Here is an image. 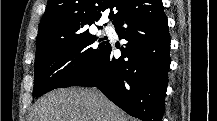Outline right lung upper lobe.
I'll list each match as a JSON object with an SVG mask.
<instances>
[{
	"instance_id": "right-lung-upper-lobe-1",
	"label": "right lung upper lobe",
	"mask_w": 217,
	"mask_h": 121,
	"mask_svg": "<svg viewBox=\"0 0 217 121\" xmlns=\"http://www.w3.org/2000/svg\"><path fill=\"white\" fill-rule=\"evenodd\" d=\"M142 0H48L39 25L36 47L62 39L98 21L110 8L115 24Z\"/></svg>"
}]
</instances>
